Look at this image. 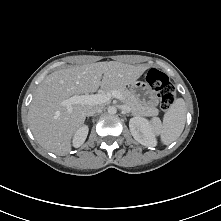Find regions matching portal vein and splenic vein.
Returning a JSON list of instances; mask_svg holds the SVG:
<instances>
[{"mask_svg":"<svg viewBox=\"0 0 221 221\" xmlns=\"http://www.w3.org/2000/svg\"><path fill=\"white\" fill-rule=\"evenodd\" d=\"M111 97L122 99V95L114 90L112 92H105L94 95H77L72 96L69 99L62 102V105L67 106L68 112H72L73 104H89V105H98L108 102Z\"/></svg>","mask_w":221,"mask_h":221,"instance_id":"portal-vein-and-splenic-vein-1","label":"portal vein and splenic vein"}]
</instances>
